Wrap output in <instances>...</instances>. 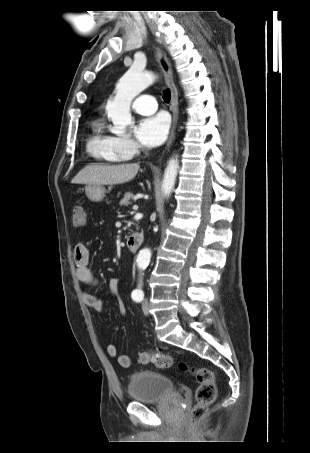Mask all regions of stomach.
<instances>
[{"label":"stomach","mask_w":310,"mask_h":453,"mask_svg":"<svg viewBox=\"0 0 310 453\" xmlns=\"http://www.w3.org/2000/svg\"><path fill=\"white\" fill-rule=\"evenodd\" d=\"M85 193L89 200L98 202L101 201L104 197V188L99 185H88L85 189Z\"/></svg>","instance_id":"1"}]
</instances>
